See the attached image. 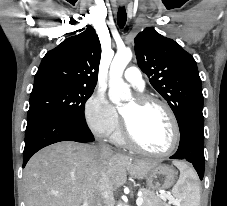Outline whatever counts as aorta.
<instances>
[{"label":"aorta","instance_id":"762f6f07","mask_svg":"<svg viewBox=\"0 0 227 206\" xmlns=\"http://www.w3.org/2000/svg\"><path fill=\"white\" fill-rule=\"evenodd\" d=\"M131 59L132 51L130 49L119 50L110 66L108 96L110 101L116 105H120L122 101L131 98L130 88L122 78L123 72ZM117 206H122V204Z\"/></svg>","mask_w":227,"mask_h":206}]
</instances>
